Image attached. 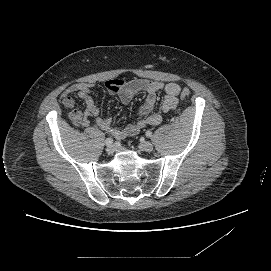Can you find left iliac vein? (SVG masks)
I'll use <instances>...</instances> for the list:
<instances>
[{
	"label": "left iliac vein",
	"instance_id": "left-iliac-vein-1",
	"mask_svg": "<svg viewBox=\"0 0 271 271\" xmlns=\"http://www.w3.org/2000/svg\"><path fill=\"white\" fill-rule=\"evenodd\" d=\"M140 149L143 151L150 152L153 150V145L150 142L143 141L140 143Z\"/></svg>",
	"mask_w": 271,
	"mask_h": 271
}]
</instances>
